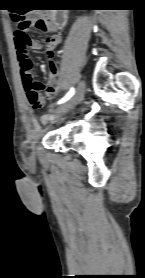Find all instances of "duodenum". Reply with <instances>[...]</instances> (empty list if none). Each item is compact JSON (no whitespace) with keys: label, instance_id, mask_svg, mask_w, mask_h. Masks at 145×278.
<instances>
[{"label":"duodenum","instance_id":"1","mask_svg":"<svg viewBox=\"0 0 145 278\" xmlns=\"http://www.w3.org/2000/svg\"><path fill=\"white\" fill-rule=\"evenodd\" d=\"M49 22L54 28H63L67 25L68 14L64 10L54 11L49 16Z\"/></svg>","mask_w":145,"mask_h":278}]
</instances>
